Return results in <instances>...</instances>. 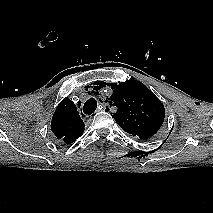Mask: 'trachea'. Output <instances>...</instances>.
<instances>
[{"mask_svg": "<svg viewBox=\"0 0 213 213\" xmlns=\"http://www.w3.org/2000/svg\"><path fill=\"white\" fill-rule=\"evenodd\" d=\"M97 108V101L94 98H90L83 106V112L85 114H92Z\"/></svg>", "mask_w": 213, "mask_h": 213, "instance_id": "1", "label": "trachea"}]
</instances>
